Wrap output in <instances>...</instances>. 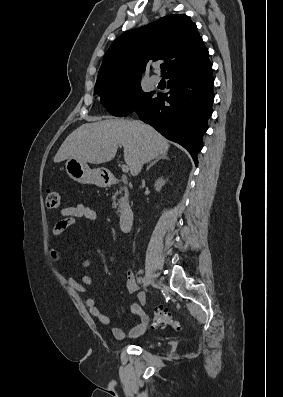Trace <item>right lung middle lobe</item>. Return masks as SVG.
<instances>
[{
    "mask_svg": "<svg viewBox=\"0 0 283 397\" xmlns=\"http://www.w3.org/2000/svg\"><path fill=\"white\" fill-rule=\"evenodd\" d=\"M141 77L97 81L98 94L104 107L114 116L123 117L149 101L153 93H145L140 86Z\"/></svg>",
    "mask_w": 283,
    "mask_h": 397,
    "instance_id": "obj_1",
    "label": "right lung middle lobe"
}]
</instances>
